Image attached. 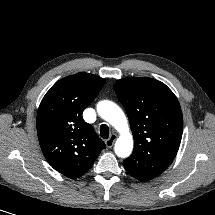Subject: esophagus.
Masks as SVG:
<instances>
[{
	"label": "esophagus",
	"mask_w": 215,
	"mask_h": 215,
	"mask_svg": "<svg viewBox=\"0 0 215 215\" xmlns=\"http://www.w3.org/2000/svg\"><path fill=\"white\" fill-rule=\"evenodd\" d=\"M117 136L112 134L106 141L105 144L108 148H111L116 140Z\"/></svg>",
	"instance_id": "1"
}]
</instances>
